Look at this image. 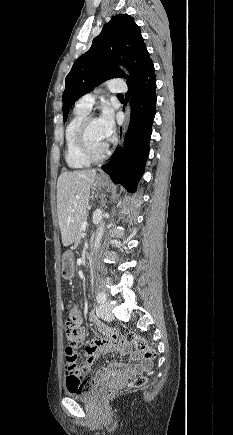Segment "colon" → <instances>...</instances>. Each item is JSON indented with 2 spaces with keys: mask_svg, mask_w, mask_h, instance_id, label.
I'll list each match as a JSON object with an SVG mask.
<instances>
[{
  "mask_svg": "<svg viewBox=\"0 0 233 435\" xmlns=\"http://www.w3.org/2000/svg\"><path fill=\"white\" fill-rule=\"evenodd\" d=\"M81 326V317L79 313L76 311L74 306L69 308V315L66 320V337L67 342L64 347V357L67 366L72 367L73 369H79V365L76 359V351H75V338L80 331ZM120 339L122 343L133 345L135 350L140 353L144 358L148 360H153L156 356L155 350L151 347L147 341L139 337L135 333H126L121 336L112 329H108L107 331V339L104 341V346L106 349H112L116 341ZM148 381V376L146 373H140L133 377L131 386L132 387H140L146 384ZM92 385V381L85 380L82 381L79 376H72L69 380V385L67 386L68 390L71 392H84L90 389ZM116 394V390L109 388L103 391L102 400L108 401L111 400Z\"/></svg>",
  "mask_w": 233,
  "mask_h": 435,
  "instance_id": "1",
  "label": "colon"
}]
</instances>
